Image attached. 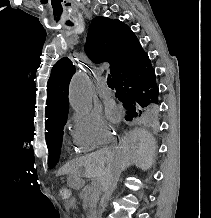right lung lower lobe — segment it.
<instances>
[{
  "label": "right lung lower lobe",
  "mask_w": 211,
  "mask_h": 218,
  "mask_svg": "<svg viewBox=\"0 0 211 218\" xmlns=\"http://www.w3.org/2000/svg\"><path fill=\"white\" fill-rule=\"evenodd\" d=\"M116 97L159 102V89L148 55L143 51L132 62L121 66L113 76Z\"/></svg>",
  "instance_id": "right-lung-lower-lobe-1"
}]
</instances>
